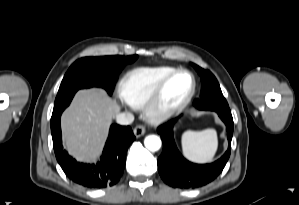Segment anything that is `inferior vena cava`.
Segmentation results:
<instances>
[{
	"label": "inferior vena cava",
	"mask_w": 299,
	"mask_h": 205,
	"mask_svg": "<svg viewBox=\"0 0 299 205\" xmlns=\"http://www.w3.org/2000/svg\"><path fill=\"white\" fill-rule=\"evenodd\" d=\"M134 121V115L132 113H120L116 115V122L120 125H129Z\"/></svg>",
	"instance_id": "inferior-vena-cava-1"
}]
</instances>
